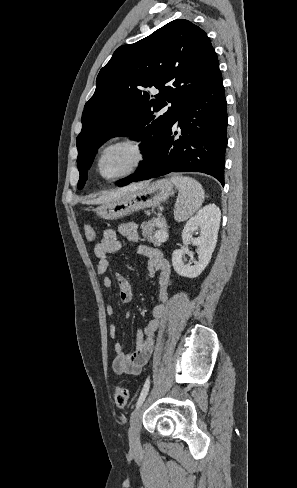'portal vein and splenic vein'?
<instances>
[{
  "instance_id": "portal-vein-and-splenic-vein-1",
  "label": "portal vein and splenic vein",
  "mask_w": 297,
  "mask_h": 488,
  "mask_svg": "<svg viewBox=\"0 0 297 488\" xmlns=\"http://www.w3.org/2000/svg\"><path fill=\"white\" fill-rule=\"evenodd\" d=\"M163 232H164L163 230H159V231H157L156 235L161 234Z\"/></svg>"
}]
</instances>
